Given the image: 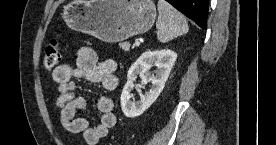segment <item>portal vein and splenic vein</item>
<instances>
[{
    "instance_id": "18ae733b",
    "label": "portal vein and splenic vein",
    "mask_w": 276,
    "mask_h": 145,
    "mask_svg": "<svg viewBox=\"0 0 276 145\" xmlns=\"http://www.w3.org/2000/svg\"><path fill=\"white\" fill-rule=\"evenodd\" d=\"M134 47H139L140 46V42L139 41H135L133 44Z\"/></svg>"
}]
</instances>
